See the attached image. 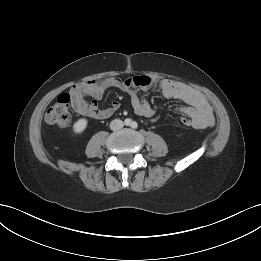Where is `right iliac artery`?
Returning <instances> with one entry per match:
<instances>
[{"mask_svg": "<svg viewBox=\"0 0 261 261\" xmlns=\"http://www.w3.org/2000/svg\"><path fill=\"white\" fill-rule=\"evenodd\" d=\"M124 123H125V125H130V124H131V120H130V119H126V120L124 121Z\"/></svg>", "mask_w": 261, "mask_h": 261, "instance_id": "obj_1", "label": "right iliac artery"}]
</instances>
